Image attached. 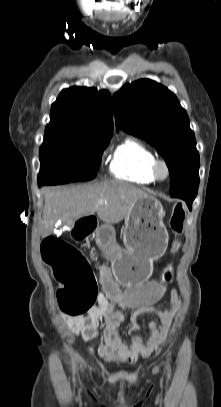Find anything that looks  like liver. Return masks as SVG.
<instances>
[{
    "label": "liver",
    "instance_id": "liver-1",
    "mask_svg": "<svg viewBox=\"0 0 221 407\" xmlns=\"http://www.w3.org/2000/svg\"><path fill=\"white\" fill-rule=\"evenodd\" d=\"M143 195L147 194L121 181L48 189L44 198L41 236H49L58 220L73 223L95 213L108 224L119 223L127 217L134 202ZM99 200L106 202L99 204Z\"/></svg>",
    "mask_w": 221,
    "mask_h": 407
}]
</instances>
